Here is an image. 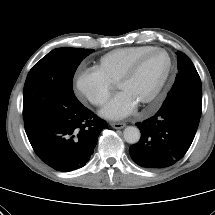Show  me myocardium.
I'll return each mask as SVG.
<instances>
[{
	"label": "myocardium",
	"instance_id": "1",
	"mask_svg": "<svg viewBox=\"0 0 215 215\" xmlns=\"http://www.w3.org/2000/svg\"><path fill=\"white\" fill-rule=\"evenodd\" d=\"M154 53H164L167 57H168V67L167 70L162 78V80L160 81V83L157 85V87L155 88V90L152 92V94L145 99L142 102V105H146V104H150L152 103L162 92V90L164 89L172 68H173V59L170 55V53L163 49V48H153L145 53H143L142 55H140L139 57H137L128 67L127 69L123 72V74L120 76V78L118 79V81L116 82V87L119 89L120 86L122 84H124L125 82L129 81L136 73V71L138 70V68L140 67V65L152 54Z\"/></svg>",
	"mask_w": 215,
	"mask_h": 215
}]
</instances>
